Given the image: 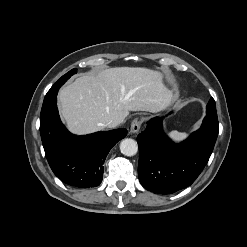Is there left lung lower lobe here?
<instances>
[{
    "instance_id": "0a47b994",
    "label": "left lung lower lobe",
    "mask_w": 247,
    "mask_h": 247,
    "mask_svg": "<svg viewBox=\"0 0 247 247\" xmlns=\"http://www.w3.org/2000/svg\"><path fill=\"white\" fill-rule=\"evenodd\" d=\"M218 135V127L205 122L181 144L173 143L155 117L137 137L138 176L142 186L155 193H174L194 182L207 164Z\"/></svg>"
}]
</instances>
